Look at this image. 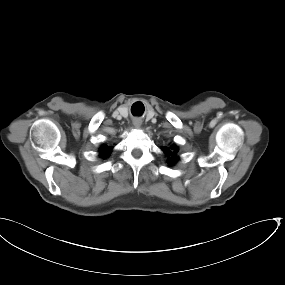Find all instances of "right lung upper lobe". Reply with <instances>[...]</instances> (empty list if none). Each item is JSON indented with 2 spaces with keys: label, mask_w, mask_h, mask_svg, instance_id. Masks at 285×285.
<instances>
[{
  "label": "right lung upper lobe",
  "mask_w": 285,
  "mask_h": 285,
  "mask_svg": "<svg viewBox=\"0 0 285 285\" xmlns=\"http://www.w3.org/2000/svg\"><path fill=\"white\" fill-rule=\"evenodd\" d=\"M110 151H111V148L107 146H102L100 149V156L103 158H106L109 155Z\"/></svg>",
  "instance_id": "1"
}]
</instances>
